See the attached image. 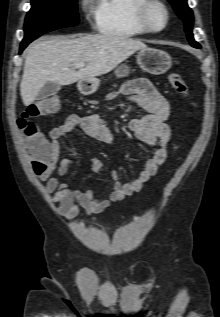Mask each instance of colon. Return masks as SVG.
<instances>
[{
    "label": "colon",
    "instance_id": "5ec220e1",
    "mask_svg": "<svg viewBox=\"0 0 220 317\" xmlns=\"http://www.w3.org/2000/svg\"><path fill=\"white\" fill-rule=\"evenodd\" d=\"M168 81L178 94L185 98L188 97V87L178 73H170ZM59 108V97L55 95L47 96L30 105L17 119V126L22 134L24 146L29 152L35 168L44 169L50 163L52 144L46 139L34 120L54 114Z\"/></svg>",
    "mask_w": 220,
    "mask_h": 317
}]
</instances>
